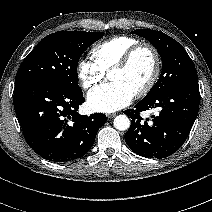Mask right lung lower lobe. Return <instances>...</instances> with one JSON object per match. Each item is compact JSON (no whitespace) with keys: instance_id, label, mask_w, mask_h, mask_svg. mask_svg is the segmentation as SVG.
<instances>
[{"instance_id":"right-lung-lower-lobe-1","label":"right lung lower lobe","mask_w":212,"mask_h":212,"mask_svg":"<svg viewBox=\"0 0 212 212\" xmlns=\"http://www.w3.org/2000/svg\"><path fill=\"white\" fill-rule=\"evenodd\" d=\"M83 93L71 92L46 81L18 84L14 108L28 145L42 158L68 162L84 156L107 118L104 114L80 115Z\"/></svg>"}]
</instances>
